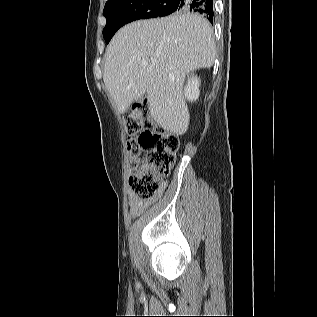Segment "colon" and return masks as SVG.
<instances>
[{
  "instance_id": "colon-1",
  "label": "colon",
  "mask_w": 317,
  "mask_h": 317,
  "mask_svg": "<svg viewBox=\"0 0 317 317\" xmlns=\"http://www.w3.org/2000/svg\"><path fill=\"white\" fill-rule=\"evenodd\" d=\"M145 105H134L125 118L129 135L127 151L129 167L135 170L130 177L133 195L141 201L156 197L162 178L171 171L179 148V139L147 117Z\"/></svg>"
}]
</instances>
